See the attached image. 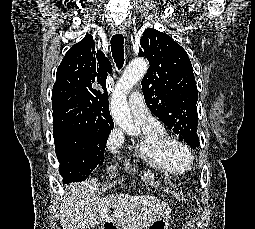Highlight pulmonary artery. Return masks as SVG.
Instances as JSON below:
<instances>
[{
    "label": "pulmonary artery",
    "instance_id": "1",
    "mask_svg": "<svg viewBox=\"0 0 255 229\" xmlns=\"http://www.w3.org/2000/svg\"><path fill=\"white\" fill-rule=\"evenodd\" d=\"M129 107L134 119L139 125L148 127L159 126V122L149 113L140 92L135 91L131 93L129 97Z\"/></svg>",
    "mask_w": 255,
    "mask_h": 229
}]
</instances>
